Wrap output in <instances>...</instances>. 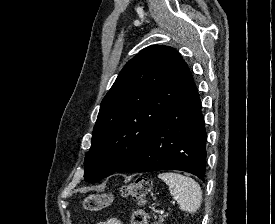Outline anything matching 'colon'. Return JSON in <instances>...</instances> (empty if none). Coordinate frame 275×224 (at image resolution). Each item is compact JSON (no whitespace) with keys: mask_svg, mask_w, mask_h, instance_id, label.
<instances>
[{"mask_svg":"<svg viewBox=\"0 0 275 224\" xmlns=\"http://www.w3.org/2000/svg\"><path fill=\"white\" fill-rule=\"evenodd\" d=\"M152 183L148 177L140 176L133 182L122 188V195L132 197L140 203H144L151 192ZM112 195L100 193L89 195L84 202L85 208L90 211H98L108 207L112 202ZM148 214L145 210L139 209L132 215L131 224H147Z\"/></svg>","mask_w":275,"mask_h":224,"instance_id":"5ec220e1","label":"colon"}]
</instances>
